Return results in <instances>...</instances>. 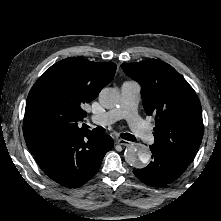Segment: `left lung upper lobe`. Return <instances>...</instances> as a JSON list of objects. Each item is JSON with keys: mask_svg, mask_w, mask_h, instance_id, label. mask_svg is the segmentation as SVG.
<instances>
[{"mask_svg": "<svg viewBox=\"0 0 221 221\" xmlns=\"http://www.w3.org/2000/svg\"><path fill=\"white\" fill-rule=\"evenodd\" d=\"M121 66L141 85L145 112L155 119L152 147L189 165L204 133L201 104L193 88L172 66L160 60Z\"/></svg>", "mask_w": 221, "mask_h": 221, "instance_id": "1", "label": "left lung upper lobe"}]
</instances>
